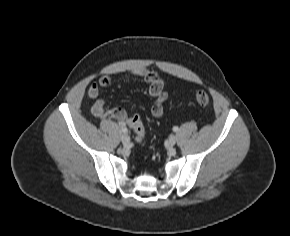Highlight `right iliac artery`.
I'll return each instance as SVG.
<instances>
[{
  "instance_id": "1",
  "label": "right iliac artery",
  "mask_w": 290,
  "mask_h": 236,
  "mask_svg": "<svg viewBox=\"0 0 290 236\" xmlns=\"http://www.w3.org/2000/svg\"><path fill=\"white\" fill-rule=\"evenodd\" d=\"M121 127H122V131H123L124 133L128 132V130H127V128L125 127V125H121Z\"/></svg>"
}]
</instances>
